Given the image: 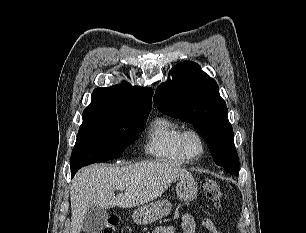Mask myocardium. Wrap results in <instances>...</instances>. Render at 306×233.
Returning <instances> with one entry per match:
<instances>
[{
  "label": "myocardium",
  "instance_id": "obj_1",
  "mask_svg": "<svg viewBox=\"0 0 306 233\" xmlns=\"http://www.w3.org/2000/svg\"><path fill=\"white\" fill-rule=\"evenodd\" d=\"M190 137H195L199 141L200 146H201L200 153L196 156L190 155L189 152H188V149H187V140ZM180 149H181L183 157L186 160L197 161V160L201 159L206 152V142H205L204 137L202 136V134L199 131H197L195 129H188V130H185L181 135Z\"/></svg>",
  "mask_w": 306,
  "mask_h": 233
}]
</instances>
